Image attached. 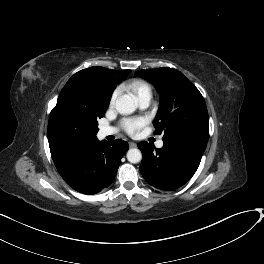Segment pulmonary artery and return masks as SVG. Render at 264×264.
Listing matches in <instances>:
<instances>
[{
  "mask_svg": "<svg viewBox=\"0 0 264 264\" xmlns=\"http://www.w3.org/2000/svg\"><path fill=\"white\" fill-rule=\"evenodd\" d=\"M138 102H139V106L141 109H145L149 106L150 102H151V96L149 95H144L138 98ZM117 132V129L114 127H103L100 129V133L102 136H108V135H112L115 134ZM164 142L162 139H159L156 142V146L161 148L163 146Z\"/></svg>",
  "mask_w": 264,
  "mask_h": 264,
  "instance_id": "1",
  "label": "pulmonary artery"
}]
</instances>
